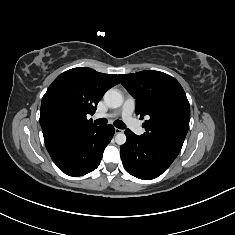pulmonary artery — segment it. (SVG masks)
I'll list each match as a JSON object with an SVG mask.
<instances>
[{
  "label": "pulmonary artery",
  "mask_w": 235,
  "mask_h": 235,
  "mask_svg": "<svg viewBox=\"0 0 235 235\" xmlns=\"http://www.w3.org/2000/svg\"><path fill=\"white\" fill-rule=\"evenodd\" d=\"M135 109V100L132 97H127L121 106V108L113 113H109L106 115L103 114H96V118H102V117H115L118 115H121L125 123L129 126V128L135 133V134H141L143 132V129L139 123L138 120H136L133 117V111Z\"/></svg>",
  "instance_id": "1"
}]
</instances>
